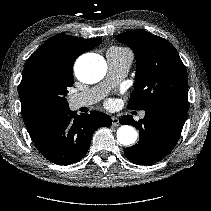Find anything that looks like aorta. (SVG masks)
<instances>
[{
  "label": "aorta",
  "instance_id": "aorta-1",
  "mask_svg": "<svg viewBox=\"0 0 211 211\" xmlns=\"http://www.w3.org/2000/svg\"><path fill=\"white\" fill-rule=\"evenodd\" d=\"M105 60L97 54L80 56L75 63L76 77L84 83L100 81L106 74ZM137 139V131L129 125H123L117 130V140L122 145H131Z\"/></svg>",
  "mask_w": 211,
  "mask_h": 211
}]
</instances>
